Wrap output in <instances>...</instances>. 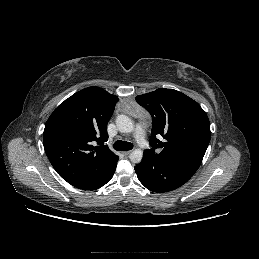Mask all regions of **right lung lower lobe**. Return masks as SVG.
Here are the masks:
<instances>
[{
  "label": "right lung lower lobe",
  "mask_w": 259,
  "mask_h": 259,
  "mask_svg": "<svg viewBox=\"0 0 259 259\" xmlns=\"http://www.w3.org/2000/svg\"><path fill=\"white\" fill-rule=\"evenodd\" d=\"M116 165H117V162L110 169H108L105 173H103L97 177H94L90 180H87L85 182H82L80 184L74 185V186L79 189H84V190L98 189L111 180V178L113 177V174L115 172Z\"/></svg>",
  "instance_id": "1"
}]
</instances>
